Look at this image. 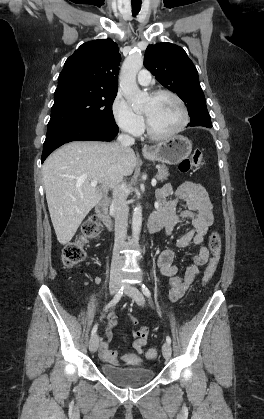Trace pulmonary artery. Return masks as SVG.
Instances as JSON below:
<instances>
[{
  "label": "pulmonary artery",
  "instance_id": "pulmonary-artery-1",
  "mask_svg": "<svg viewBox=\"0 0 264 419\" xmlns=\"http://www.w3.org/2000/svg\"><path fill=\"white\" fill-rule=\"evenodd\" d=\"M151 81V74L148 70L146 69H142L139 71L138 75H137V82L140 85L146 86L150 83Z\"/></svg>",
  "mask_w": 264,
  "mask_h": 419
}]
</instances>
